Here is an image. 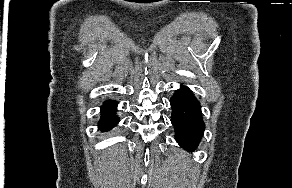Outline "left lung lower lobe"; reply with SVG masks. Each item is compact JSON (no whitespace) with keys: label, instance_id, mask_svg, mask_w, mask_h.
Returning <instances> with one entry per match:
<instances>
[{"label":"left lung lower lobe","instance_id":"0a47b994","mask_svg":"<svg viewBox=\"0 0 292 188\" xmlns=\"http://www.w3.org/2000/svg\"><path fill=\"white\" fill-rule=\"evenodd\" d=\"M170 104L175 139L181 147L193 151L198 146L205 129L199 102L187 88L182 86L171 97Z\"/></svg>","mask_w":292,"mask_h":188}]
</instances>
